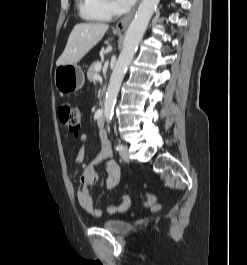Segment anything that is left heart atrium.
<instances>
[{
	"mask_svg": "<svg viewBox=\"0 0 247 265\" xmlns=\"http://www.w3.org/2000/svg\"><path fill=\"white\" fill-rule=\"evenodd\" d=\"M119 3L123 6H129L131 5L135 0H118Z\"/></svg>",
	"mask_w": 247,
	"mask_h": 265,
	"instance_id": "1",
	"label": "left heart atrium"
}]
</instances>
